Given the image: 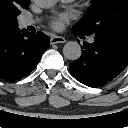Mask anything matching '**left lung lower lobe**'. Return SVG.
Segmentation results:
<instances>
[{
    "mask_svg": "<svg viewBox=\"0 0 128 128\" xmlns=\"http://www.w3.org/2000/svg\"><path fill=\"white\" fill-rule=\"evenodd\" d=\"M73 34L85 35L76 29ZM94 43L82 46V55L69 65L82 84L99 87L118 76L128 65V35L95 36Z\"/></svg>",
    "mask_w": 128,
    "mask_h": 128,
    "instance_id": "obj_1",
    "label": "left lung lower lobe"
}]
</instances>
